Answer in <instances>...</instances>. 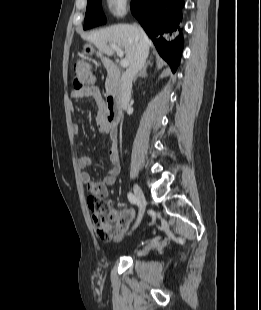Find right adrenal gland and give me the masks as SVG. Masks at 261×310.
<instances>
[{
	"label": "right adrenal gland",
	"instance_id": "obj_1",
	"mask_svg": "<svg viewBox=\"0 0 261 310\" xmlns=\"http://www.w3.org/2000/svg\"><path fill=\"white\" fill-rule=\"evenodd\" d=\"M149 65H150V62H148V63L145 64V66L143 67V69L136 75L134 81H136V79H137L138 77H142V78L148 77L147 68H148Z\"/></svg>",
	"mask_w": 261,
	"mask_h": 310
}]
</instances>
